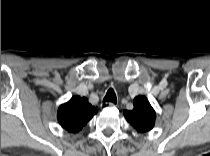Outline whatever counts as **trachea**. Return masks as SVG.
<instances>
[{
    "instance_id": "1",
    "label": "trachea",
    "mask_w": 210,
    "mask_h": 156,
    "mask_svg": "<svg viewBox=\"0 0 210 156\" xmlns=\"http://www.w3.org/2000/svg\"><path fill=\"white\" fill-rule=\"evenodd\" d=\"M104 102H113L114 104L117 103V98H116V94L114 92V90L112 88H110L107 93L106 96L104 97Z\"/></svg>"
}]
</instances>
